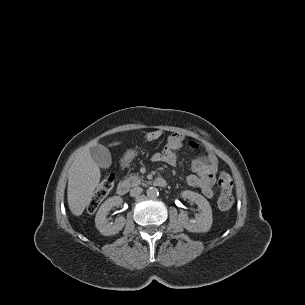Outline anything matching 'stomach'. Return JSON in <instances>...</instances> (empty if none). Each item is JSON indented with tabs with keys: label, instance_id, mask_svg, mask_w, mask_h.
<instances>
[{
	"label": "stomach",
	"instance_id": "1",
	"mask_svg": "<svg viewBox=\"0 0 305 305\" xmlns=\"http://www.w3.org/2000/svg\"><path fill=\"white\" fill-rule=\"evenodd\" d=\"M135 156H136V152L134 150H128L122 159V163L127 164L131 162Z\"/></svg>",
	"mask_w": 305,
	"mask_h": 305
}]
</instances>
